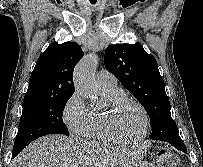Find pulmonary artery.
Wrapping results in <instances>:
<instances>
[{
	"label": "pulmonary artery",
	"mask_w": 203,
	"mask_h": 167,
	"mask_svg": "<svg viewBox=\"0 0 203 167\" xmlns=\"http://www.w3.org/2000/svg\"><path fill=\"white\" fill-rule=\"evenodd\" d=\"M97 85L100 88H111L117 86L116 77L107 70H101L97 74Z\"/></svg>",
	"instance_id": "pulmonary-artery-1"
}]
</instances>
